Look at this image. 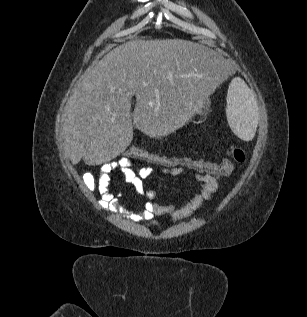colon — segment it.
<instances>
[{"label":"colon","mask_w":307,"mask_h":317,"mask_svg":"<svg viewBox=\"0 0 307 317\" xmlns=\"http://www.w3.org/2000/svg\"><path fill=\"white\" fill-rule=\"evenodd\" d=\"M119 159L132 163L138 161L153 168H187L193 172L211 175L216 178H223L232 172L233 162H245L247 154L244 149L232 146L228 149L227 158H224L219 162H213L192 157L167 156L135 145H128L121 151ZM83 181L90 190L94 189L97 184L95 176L91 173H86L83 176Z\"/></svg>","instance_id":"1"}]
</instances>
